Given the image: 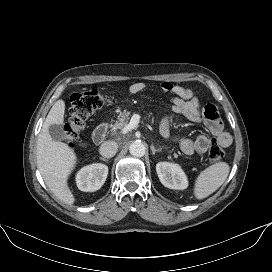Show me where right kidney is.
Returning a JSON list of instances; mask_svg holds the SVG:
<instances>
[{"instance_id": "right-kidney-1", "label": "right kidney", "mask_w": 272, "mask_h": 272, "mask_svg": "<svg viewBox=\"0 0 272 272\" xmlns=\"http://www.w3.org/2000/svg\"><path fill=\"white\" fill-rule=\"evenodd\" d=\"M108 175V167L104 164H91L83 167L76 176L78 188L84 192L99 190Z\"/></svg>"}]
</instances>
